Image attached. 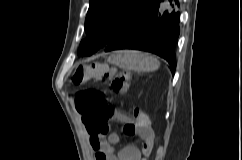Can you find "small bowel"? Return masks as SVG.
I'll return each mask as SVG.
<instances>
[{
    "mask_svg": "<svg viewBox=\"0 0 242 160\" xmlns=\"http://www.w3.org/2000/svg\"><path fill=\"white\" fill-rule=\"evenodd\" d=\"M115 119L122 123L123 133L128 136L136 135L141 141V147L137 148L132 145L125 146L119 152H115L114 145L119 142V136L111 133L92 134L89 132V143L95 153V160H147L150 154L154 133L147 116L143 113L134 112L133 118L121 112H116ZM132 128L134 134H128L127 130Z\"/></svg>",
    "mask_w": 242,
    "mask_h": 160,
    "instance_id": "c3829d8e",
    "label": "small bowel"
}]
</instances>
